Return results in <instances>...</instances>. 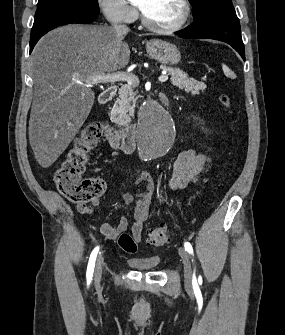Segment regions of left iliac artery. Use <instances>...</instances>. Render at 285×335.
<instances>
[{
  "instance_id": "1",
  "label": "left iliac artery",
  "mask_w": 285,
  "mask_h": 335,
  "mask_svg": "<svg viewBox=\"0 0 285 335\" xmlns=\"http://www.w3.org/2000/svg\"><path fill=\"white\" fill-rule=\"evenodd\" d=\"M184 247L188 253L193 254V248L189 242H185ZM193 279H195V274L193 275Z\"/></svg>"
}]
</instances>
